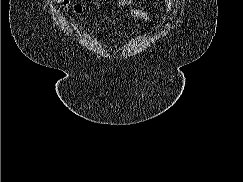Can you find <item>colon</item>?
Returning <instances> with one entry per match:
<instances>
[{"instance_id":"colon-1","label":"colon","mask_w":243,"mask_h":182,"mask_svg":"<svg viewBox=\"0 0 243 182\" xmlns=\"http://www.w3.org/2000/svg\"><path fill=\"white\" fill-rule=\"evenodd\" d=\"M132 0H120V3L122 5H128L129 3H131ZM65 3H68V0H64ZM74 10L76 13H81L84 10V6L81 4H76L74 5Z\"/></svg>"}]
</instances>
